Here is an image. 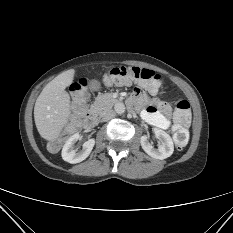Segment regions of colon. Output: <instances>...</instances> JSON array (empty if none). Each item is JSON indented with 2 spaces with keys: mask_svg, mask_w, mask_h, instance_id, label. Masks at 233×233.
Segmentation results:
<instances>
[{
  "mask_svg": "<svg viewBox=\"0 0 233 233\" xmlns=\"http://www.w3.org/2000/svg\"><path fill=\"white\" fill-rule=\"evenodd\" d=\"M104 82L108 85L138 84L141 88L153 94H160L162 80L154 71L134 66H115L109 68L104 75ZM88 81L79 80L71 87L72 114L64 131L63 137L71 136L80 128L83 117L87 118L86 100L88 96ZM175 129L173 140L178 149L185 147L189 140V132L185 128L191 119L190 105L186 100H178L173 113ZM59 142L50 144L52 149L57 148Z\"/></svg>",
  "mask_w": 233,
  "mask_h": 233,
  "instance_id": "obj_1",
  "label": "colon"
}]
</instances>
